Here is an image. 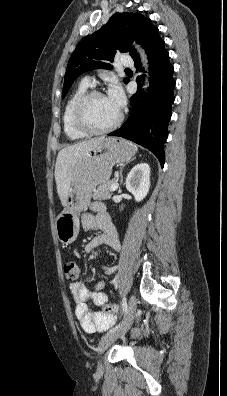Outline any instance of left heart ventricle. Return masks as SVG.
Wrapping results in <instances>:
<instances>
[{
    "mask_svg": "<svg viewBox=\"0 0 227 396\" xmlns=\"http://www.w3.org/2000/svg\"><path fill=\"white\" fill-rule=\"evenodd\" d=\"M119 111L108 101L106 96L94 97L87 109L90 123L97 128H103L112 124L118 117Z\"/></svg>",
    "mask_w": 227,
    "mask_h": 396,
    "instance_id": "1",
    "label": "left heart ventricle"
}]
</instances>
